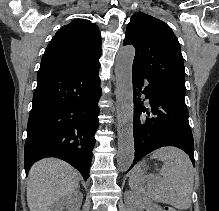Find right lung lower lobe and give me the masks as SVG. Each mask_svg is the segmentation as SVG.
Instances as JSON below:
<instances>
[{
	"instance_id": "obj_1",
	"label": "right lung lower lobe",
	"mask_w": 219,
	"mask_h": 211,
	"mask_svg": "<svg viewBox=\"0 0 219 211\" xmlns=\"http://www.w3.org/2000/svg\"><path fill=\"white\" fill-rule=\"evenodd\" d=\"M99 68L38 71L27 125L26 174L34 162L57 157L89 177L101 96Z\"/></svg>"
}]
</instances>
